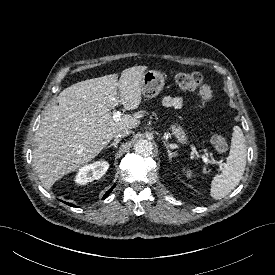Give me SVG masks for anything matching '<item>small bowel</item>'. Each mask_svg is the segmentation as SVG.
I'll return each instance as SVG.
<instances>
[{
	"mask_svg": "<svg viewBox=\"0 0 275 275\" xmlns=\"http://www.w3.org/2000/svg\"><path fill=\"white\" fill-rule=\"evenodd\" d=\"M163 105L166 107L179 108L182 106L183 101L180 97L165 96L162 99Z\"/></svg>",
	"mask_w": 275,
	"mask_h": 275,
	"instance_id": "obj_1",
	"label": "small bowel"
}]
</instances>
